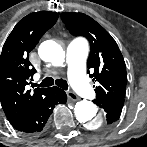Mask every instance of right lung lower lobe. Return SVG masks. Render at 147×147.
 Here are the masks:
<instances>
[{
	"mask_svg": "<svg viewBox=\"0 0 147 147\" xmlns=\"http://www.w3.org/2000/svg\"><path fill=\"white\" fill-rule=\"evenodd\" d=\"M66 93L60 88H49L46 95L24 116L10 122L18 131L30 134L41 132L56 104L66 103Z\"/></svg>",
	"mask_w": 147,
	"mask_h": 147,
	"instance_id": "98d812e1",
	"label": "right lung lower lobe"
}]
</instances>
